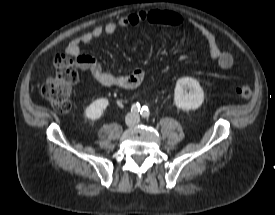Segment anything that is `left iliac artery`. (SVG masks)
Wrapping results in <instances>:
<instances>
[{"label": "left iliac artery", "instance_id": "left-iliac-artery-1", "mask_svg": "<svg viewBox=\"0 0 275 215\" xmlns=\"http://www.w3.org/2000/svg\"><path fill=\"white\" fill-rule=\"evenodd\" d=\"M140 113L143 118H148L150 115V112L147 106H143Z\"/></svg>", "mask_w": 275, "mask_h": 215}]
</instances>
